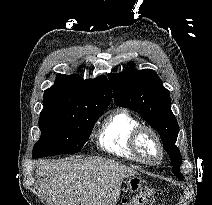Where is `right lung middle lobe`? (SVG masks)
Returning a JSON list of instances; mask_svg holds the SVG:
<instances>
[{"label":"right lung middle lobe","mask_w":212,"mask_h":205,"mask_svg":"<svg viewBox=\"0 0 212 205\" xmlns=\"http://www.w3.org/2000/svg\"><path fill=\"white\" fill-rule=\"evenodd\" d=\"M107 106H80L56 114L41 113V136L34 145L32 157L80 152Z\"/></svg>","instance_id":"obj_1"}]
</instances>
